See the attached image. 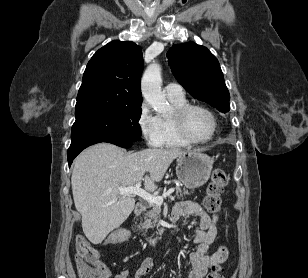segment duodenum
<instances>
[{
  "label": "duodenum",
  "instance_id": "1",
  "mask_svg": "<svg viewBox=\"0 0 308 278\" xmlns=\"http://www.w3.org/2000/svg\"><path fill=\"white\" fill-rule=\"evenodd\" d=\"M143 209H144V206H143L142 204H138V205L136 206V209H135V214H136V215L141 214L142 211H143ZM172 218H173L174 220L177 219V217H176V215H175L174 212L172 213ZM150 241H151L152 243H155V242H156V239H151Z\"/></svg>",
  "mask_w": 308,
  "mask_h": 278
}]
</instances>
